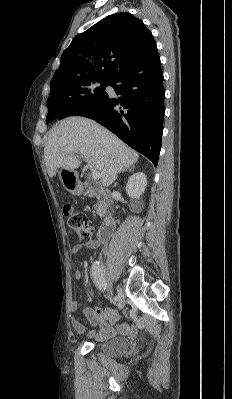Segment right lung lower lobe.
<instances>
[{"label":"right lung lower lobe","instance_id":"right-lung-lower-lobe-1","mask_svg":"<svg viewBox=\"0 0 232 399\" xmlns=\"http://www.w3.org/2000/svg\"><path fill=\"white\" fill-rule=\"evenodd\" d=\"M109 86L121 95L118 99L107 94L96 105L69 116L97 121L157 166L165 113L163 73L157 50L120 70L110 78ZM65 117L61 113L57 118Z\"/></svg>","mask_w":232,"mask_h":399}]
</instances>
